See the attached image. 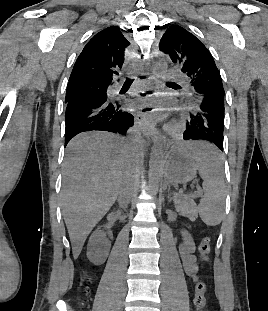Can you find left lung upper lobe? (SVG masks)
Here are the masks:
<instances>
[{
  "instance_id": "5c2ea615",
  "label": "left lung upper lobe",
  "mask_w": 268,
  "mask_h": 311,
  "mask_svg": "<svg viewBox=\"0 0 268 311\" xmlns=\"http://www.w3.org/2000/svg\"><path fill=\"white\" fill-rule=\"evenodd\" d=\"M159 49L167 54L190 79L192 114L196 102L212 93L224 95L220 72L214 59L203 43L186 29L170 26L159 43Z\"/></svg>"
}]
</instances>
